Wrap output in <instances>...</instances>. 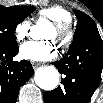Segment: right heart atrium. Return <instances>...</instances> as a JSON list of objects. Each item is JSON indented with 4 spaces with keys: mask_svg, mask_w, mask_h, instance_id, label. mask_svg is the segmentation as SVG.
<instances>
[{
    "mask_svg": "<svg viewBox=\"0 0 103 103\" xmlns=\"http://www.w3.org/2000/svg\"><path fill=\"white\" fill-rule=\"evenodd\" d=\"M30 30V23L27 20L20 21L16 26L14 30V36L17 42H22L29 33Z\"/></svg>",
    "mask_w": 103,
    "mask_h": 103,
    "instance_id": "d8ad5b80",
    "label": "right heart atrium"
}]
</instances>
